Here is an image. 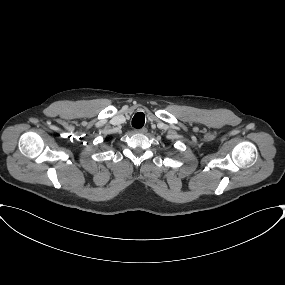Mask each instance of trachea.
<instances>
[{"label": "trachea", "mask_w": 285, "mask_h": 285, "mask_svg": "<svg viewBox=\"0 0 285 285\" xmlns=\"http://www.w3.org/2000/svg\"><path fill=\"white\" fill-rule=\"evenodd\" d=\"M145 123V115L142 112H138L134 115L132 119V126L134 128H142Z\"/></svg>", "instance_id": "1"}]
</instances>
